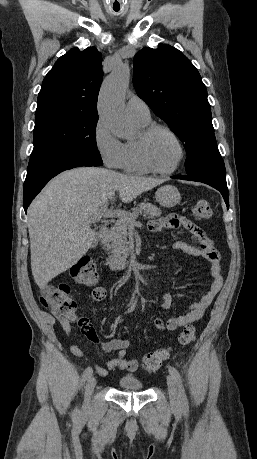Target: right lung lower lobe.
<instances>
[{
    "label": "right lung lower lobe",
    "mask_w": 257,
    "mask_h": 459,
    "mask_svg": "<svg viewBox=\"0 0 257 459\" xmlns=\"http://www.w3.org/2000/svg\"><path fill=\"white\" fill-rule=\"evenodd\" d=\"M102 161L83 153L59 151L30 158L24 182L23 207L25 212L47 182L62 171L78 166H99Z\"/></svg>",
    "instance_id": "98d812e1"
}]
</instances>
